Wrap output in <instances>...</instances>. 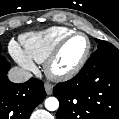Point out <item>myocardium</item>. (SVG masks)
<instances>
[{
  "label": "myocardium",
  "instance_id": "obj_1",
  "mask_svg": "<svg viewBox=\"0 0 119 119\" xmlns=\"http://www.w3.org/2000/svg\"><path fill=\"white\" fill-rule=\"evenodd\" d=\"M75 36H82L86 39L87 49H86L85 54L80 59V61L71 69H68L65 71H56L54 69V64L57 61L63 47L71 38ZM91 51H92V43H91L90 38L83 32L73 31L72 33L63 37L54 47V49L52 50V52L49 54V56L44 62V71L46 75L52 80L62 81V80L71 79L74 76H76L81 71V69L84 67V65L87 63L90 57Z\"/></svg>",
  "mask_w": 119,
  "mask_h": 119
}]
</instances>
